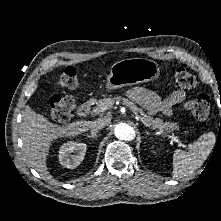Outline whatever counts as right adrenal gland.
<instances>
[{
    "instance_id": "2a0ac1e0",
    "label": "right adrenal gland",
    "mask_w": 221,
    "mask_h": 221,
    "mask_svg": "<svg viewBox=\"0 0 221 221\" xmlns=\"http://www.w3.org/2000/svg\"><path fill=\"white\" fill-rule=\"evenodd\" d=\"M88 138H92V139H97L98 137H97V135L96 134H87L86 135Z\"/></svg>"
}]
</instances>
